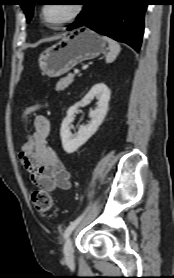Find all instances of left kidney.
<instances>
[{
	"mask_svg": "<svg viewBox=\"0 0 174 278\" xmlns=\"http://www.w3.org/2000/svg\"><path fill=\"white\" fill-rule=\"evenodd\" d=\"M94 98L98 100L97 107L90 111L89 116L91 121L85 126H80L76 135L70 132V124L74 119V114L82 104L90 103ZM110 100V90L104 83L94 85L85 97L75 105L67 110V116L64 118L60 136L62 146L65 152L71 154L75 152L80 146L85 144L88 139L97 131L98 127L102 124L106 113L108 111V102Z\"/></svg>",
	"mask_w": 174,
	"mask_h": 278,
	"instance_id": "obj_1",
	"label": "left kidney"
}]
</instances>
